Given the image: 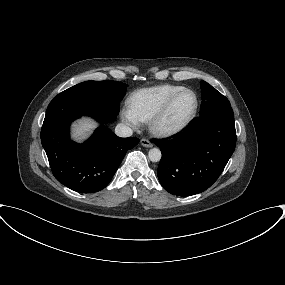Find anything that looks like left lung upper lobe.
<instances>
[{"label": "left lung upper lobe", "instance_id": "1", "mask_svg": "<svg viewBox=\"0 0 285 285\" xmlns=\"http://www.w3.org/2000/svg\"><path fill=\"white\" fill-rule=\"evenodd\" d=\"M202 104L200 116L212 112L233 113L228 99L205 81L200 82Z\"/></svg>", "mask_w": 285, "mask_h": 285}]
</instances>
